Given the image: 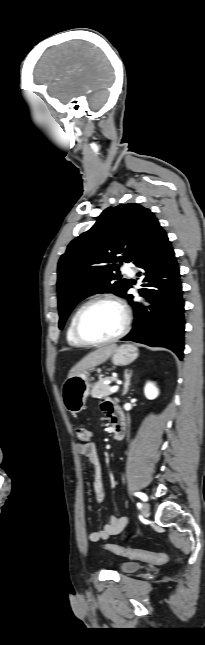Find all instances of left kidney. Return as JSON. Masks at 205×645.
<instances>
[{
  "label": "left kidney",
  "instance_id": "1",
  "mask_svg": "<svg viewBox=\"0 0 205 645\" xmlns=\"http://www.w3.org/2000/svg\"><path fill=\"white\" fill-rule=\"evenodd\" d=\"M144 393L147 399L153 400L159 395V390L152 382H147Z\"/></svg>",
  "mask_w": 205,
  "mask_h": 645
}]
</instances>
